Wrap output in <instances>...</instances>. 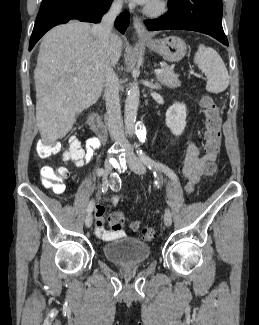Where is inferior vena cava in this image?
Returning a JSON list of instances; mask_svg holds the SVG:
<instances>
[{"mask_svg":"<svg viewBox=\"0 0 259 325\" xmlns=\"http://www.w3.org/2000/svg\"><path fill=\"white\" fill-rule=\"evenodd\" d=\"M122 4L123 0H115L110 10L102 17L101 22L93 26V30L98 35L101 44L99 61L105 77L103 97L106 104L109 133L115 144L129 147L123 131L117 78L109 62V46L113 23L122 9Z\"/></svg>","mask_w":259,"mask_h":325,"instance_id":"obj_1","label":"inferior vena cava"}]
</instances>
